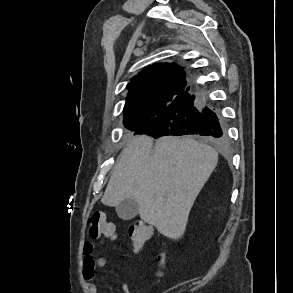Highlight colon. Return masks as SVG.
<instances>
[{"label": "colon", "instance_id": "5ec220e1", "mask_svg": "<svg viewBox=\"0 0 293 293\" xmlns=\"http://www.w3.org/2000/svg\"><path fill=\"white\" fill-rule=\"evenodd\" d=\"M88 225L89 236L92 239L115 237V227L106 218V215L102 211L92 212L88 218ZM128 235L133 247L135 249H140L153 237V229L142 221H136L129 226ZM159 261L162 266L164 263L162 256H160ZM159 274H161V270L159 271Z\"/></svg>", "mask_w": 293, "mask_h": 293}]
</instances>
